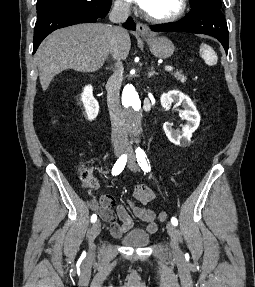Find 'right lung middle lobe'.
<instances>
[{
    "label": "right lung middle lobe",
    "instance_id": "dd1d6c3e",
    "mask_svg": "<svg viewBox=\"0 0 255 287\" xmlns=\"http://www.w3.org/2000/svg\"><path fill=\"white\" fill-rule=\"evenodd\" d=\"M111 7V0H38L37 19L67 10H86L104 16Z\"/></svg>",
    "mask_w": 255,
    "mask_h": 287
}]
</instances>
